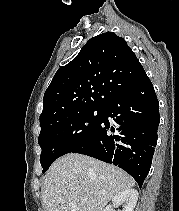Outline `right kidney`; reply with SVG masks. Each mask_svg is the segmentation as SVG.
Masks as SVG:
<instances>
[{
  "instance_id": "ca27d5eb",
  "label": "right kidney",
  "mask_w": 179,
  "mask_h": 211,
  "mask_svg": "<svg viewBox=\"0 0 179 211\" xmlns=\"http://www.w3.org/2000/svg\"><path fill=\"white\" fill-rule=\"evenodd\" d=\"M138 200V192L135 189H126L112 198V205H108L103 211H115L121 203H125L122 211H133ZM119 211V210H118Z\"/></svg>"
}]
</instances>
